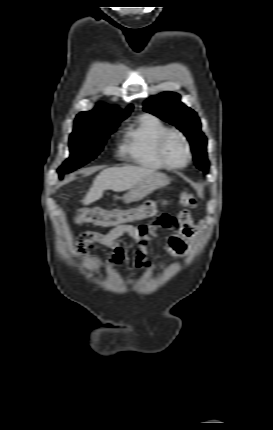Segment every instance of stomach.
<instances>
[{"mask_svg":"<svg viewBox=\"0 0 273 430\" xmlns=\"http://www.w3.org/2000/svg\"><path fill=\"white\" fill-rule=\"evenodd\" d=\"M168 178L164 173L154 171L138 182L127 194L124 195L125 202L138 201L151 194L154 190L165 186Z\"/></svg>","mask_w":273,"mask_h":430,"instance_id":"obj_1","label":"stomach"}]
</instances>
